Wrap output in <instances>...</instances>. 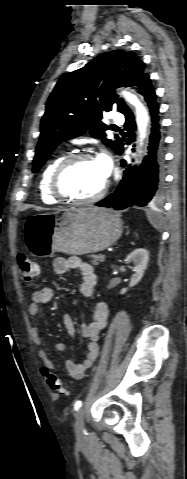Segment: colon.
<instances>
[{
	"label": "colon",
	"mask_w": 187,
	"mask_h": 479,
	"mask_svg": "<svg viewBox=\"0 0 187 479\" xmlns=\"http://www.w3.org/2000/svg\"><path fill=\"white\" fill-rule=\"evenodd\" d=\"M18 270L20 278L23 282H31L38 274V265L27 255L21 253L17 258ZM45 379L53 392L67 394L68 388L66 383L61 380L55 373L46 372Z\"/></svg>",
	"instance_id": "1"
}]
</instances>
